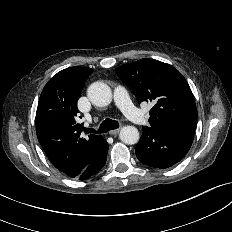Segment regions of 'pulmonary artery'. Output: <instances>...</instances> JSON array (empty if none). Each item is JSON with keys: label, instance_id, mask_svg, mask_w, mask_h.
<instances>
[{"label": "pulmonary artery", "instance_id": "pulmonary-artery-1", "mask_svg": "<svg viewBox=\"0 0 232 232\" xmlns=\"http://www.w3.org/2000/svg\"><path fill=\"white\" fill-rule=\"evenodd\" d=\"M114 100L120 110L137 124H145L146 117L132 104L125 88L118 86L114 90Z\"/></svg>", "mask_w": 232, "mask_h": 232}]
</instances>
